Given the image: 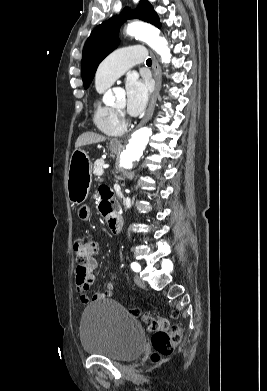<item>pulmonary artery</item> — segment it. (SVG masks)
<instances>
[{
	"mask_svg": "<svg viewBox=\"0 0 267 391\" xmlns=\"http://www.w3.org/2000/svg\"><path fill=\"white\" fill-rule=\"evenodd\" d=\"M146 50L142 46H127L119 48L109 54L99 65L95 84L97 87L111 85L126 70L135 64L146 60Z\"/></svg>",
	"mask_w": 267,
	"mask_h": 391,
	"instance_id": "pulmonary-artery-1",
	"label": "pulmonary artery"
}]
</instances>
